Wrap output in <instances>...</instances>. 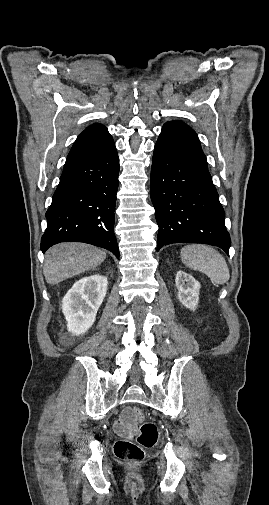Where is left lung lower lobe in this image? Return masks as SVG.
<instances>
[{"mask_svg": "<svg viewBox=\"0 0 269 505\" xmlns=\"http://www.w3.org/2000/svg\"><path fill=\"white\" fill-rule=\"evenodd\" d=\"M150 195L159 226L157 251L172 243H203L229 254L224 210L197 134L180 121L163 125L155 144Z\"/></svg>", "mask_w": 269, "mask_h": 505, "instance_id": "1", "label": "left lung lower lobe"}]
</instances>
